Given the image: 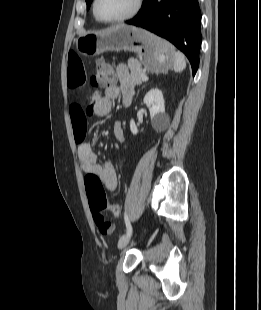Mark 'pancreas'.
Masks as SVG:
<instances>
[{"instance_id":"pancreas-1","label":"pancreas","mask_w":261,"mask_h":310,"mask_svg":"<svg viewBox=\"0 0 261 310\" xmlns=\"http://www.w3.org/2000/svg\"><path fill=\"white\" fill-rule=\"evenodd\" d=\"M128 67L130 69V78L129 83L131 85H140L142 84V76L145 75V71L142 69L141 64L139 62L129 60Z\"/></svg>"}]
</instances>
